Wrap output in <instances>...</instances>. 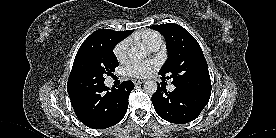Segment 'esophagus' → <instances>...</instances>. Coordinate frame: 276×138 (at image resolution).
<instances>
[{"mask_svg": "<svg viewBox=\"0 0 276 138\" xmlns=\"http://www.w3.org/2000/svg\"><path fill=\"white\" fill-rule=\"evenodd\" d=\"M133 82H134L135 85H139V84L144 83V81H142V80H134Z\"/></svg>", "mask_w": 276, "mask_h": 138, "instance_id": "1", "label": "esophagus"}]
</instances>
